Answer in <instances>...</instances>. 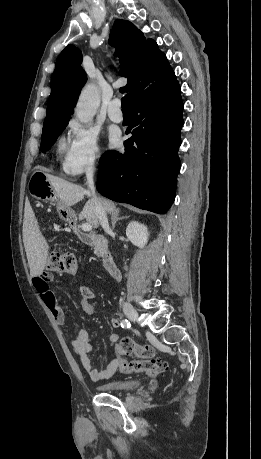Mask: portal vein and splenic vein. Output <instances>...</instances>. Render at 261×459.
I'll use <instances>...</instances> for the list:
<instances>
[{
    "mask_svg": "<svg viewBox=\"0 0 261 459\" xmlns=\"http://www.w3.org/2000/svg\"><path fill=\"white\" fill-rule=\"evenodd\" d=\"M81 228H82L83 231H90V230H92V225L89 224V223H84V224H82Z\"/></svg>",
    "mask_w": 261,
    "mask_h": 459,
    "instance_id": "18ae733b",
    "label": "portal vein and splenic vein"
}]
</instances>
